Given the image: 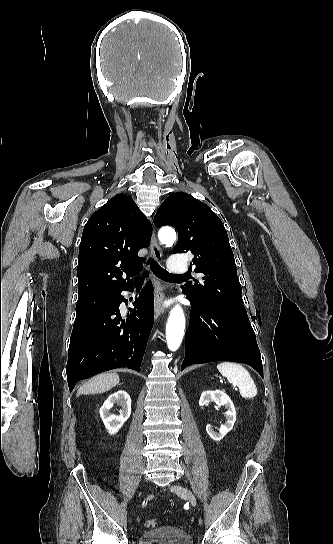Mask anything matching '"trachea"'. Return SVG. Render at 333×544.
I'll return each mask as SVG.
<instances>
[{"mask_svg":"<svg viewBox=\"0 0 333 544\" xmlns=\"http://www.w3.org/2000/svg\"><path fill=\"white\" fill-rule=\"evenodd\" d=\"M150 264V268L152 269V271L154 272V274L159 277L160 279L162 280H170V279H174V278H185L187 277V275H176V274H171L169 273L168 271H166L165 269H163L155 260L153 259H150L149 262ZM136 281L137 282H142L143 279L142 278H136Z\"/></svg>","mask_w":333,"mask_h":544,"instance_id":"trachea-1","label":"trachea"}]
</instances>
